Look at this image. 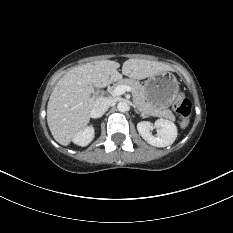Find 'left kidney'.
Returning <instances> with one entry per match:
<instances>
[{
  "mask_svg": "<svg viewBox=\"0 0 233 233\" xmlns=\"http://www.w3.org/2000/svg\"><path fill=\"white\" fill-rule=\"evenodd\" d=\"M154 125L159 127L158 136H153L150 132L152 130V124L149 121H141L137 124V130L141 137L150 145L155 147H166L175 141L177 137L176 125L165 119H158Z\"/></svg>",
  "mask_w": 233,
  "mask_h": 233,
  "instance_id": "obj_1",
  "label": "left kidney"
}]
</instances>
